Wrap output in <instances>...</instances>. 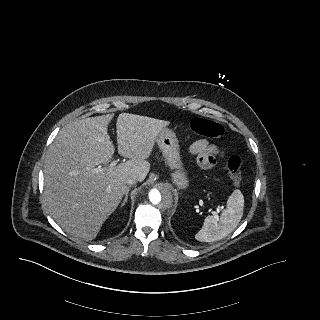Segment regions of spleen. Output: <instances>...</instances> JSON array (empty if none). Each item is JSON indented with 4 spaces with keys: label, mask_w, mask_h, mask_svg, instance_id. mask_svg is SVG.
Masks as SVG:
<instances>
[{
    "label": "spleen",
    "mask_w": 320,
    "mask_h": 320,
    "mask_svg": "<svg viewBox=\"0 0 320 320\" xmlns=\"http://www.w3.org/2000/svg\"><path fill=\"white\" fill-rule=\"evenodd\" d=\"M244 197L235 190L228 198L226 208L219 217L207 216L195 238L201 242H214L228 236L237 227L243 216Z\"/></svg>",
    "instance_id": "obj_1"
}]
</instances>
